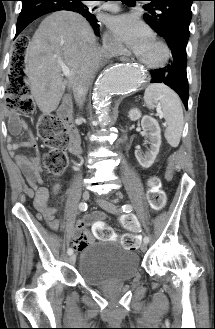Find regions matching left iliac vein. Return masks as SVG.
<instances>
[{
  "label": "left iliac vein",
  "mask_w": 215,
  "mask_h": 329,
  "mask_svg": "<svg viewBox=\"0 0 215 329\" xmlns=\"http://www.w3.org/2000/svg\"><path fill=\"white\" fill-rule=\"evenodd\" d=\"M96 202L98 203V205L103 208L105 211L109 212V213H112V214H118L119 213V210L117 208V206L108 201V200H105V199H102V198H98L96 200ZM147 250V243H142L141 245V251L145 252Z\"/></svg>",
  "instance_id": "obj_1"
}]
</instances>
